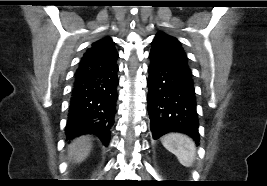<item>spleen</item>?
Segmentation results:
<instances>
[{
  "label": "spleen",
  "mask_w": 267,
  "mask_h": 186,
  "mask_svg": "<svg viewBox=\"0 0 267 186\" xmlns=\"http://www.w3.org/2000/svg\"><path fill=\"white\" fill-rule=\"evenodd\" d=\"M161 141L163 146L173 153L183 166L191 167L193 165L196 147L191 138L180 133H171L165 135Z\"/></svg>",
  "instance_id": "spleen-1"
}]
</instances>
